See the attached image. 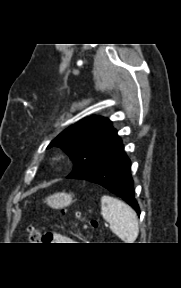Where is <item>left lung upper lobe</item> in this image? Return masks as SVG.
<instances>
[{
  "instance_id": "5c2ea615",
  "label": "left lung upper lobe",
  "mask_w": 181,
  "mask_h": 288,
  "mask_svg": "<svg viewBox=\"0 0 181 288\" xmlns=\"http://www.w3.org/2000/svg\"><path fill=\"white\" fill-rule=\"evenodd\" d=\"M121 143L112 122L93 116L70 126L48 146H58L74 160V169L68 178L81 179L94 170Z\"/></svg>"
}]
</instances>
